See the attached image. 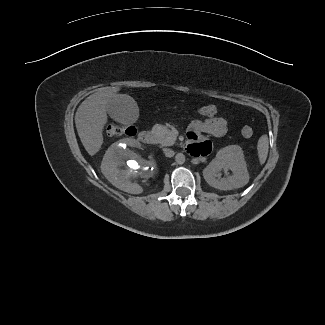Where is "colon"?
I'll return each mask as SVG.
<instances>
[{
	"mask_svg": "<svg viewBox=\"0 0 325 325\" xmlns=\"http://www.w3.org/2000/svg\"><path fill=\"white\" fill-rule=\"evenodd\" d=\"M196 113L199 116L205 118H212L219 114V109L215 105H204L200 106L196 109ZM242 135L246 138H250L253 135V129L249 125H245L242 127ZM106 135L112 136H120V135H128L133 136L136 134V129L133 126H121L116 124H109L105 127Z\"/></svg>",
	"mask_w": 325,
	"mask_h": 325,
	"instance_id": "1",
	"label": "colon"
}]
</instances>
